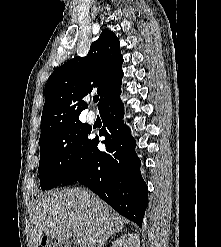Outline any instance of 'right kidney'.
<instances>
[{
	"instance_id": "obj_1",
	"label": "right kidney",
	"mask_w": 221,
	"mask_h": 247,
	"mask_svg": "<svg viewBox=\"0 0 221 247\" xmlns=\"http://www.w3.org/2000/svg\"><path fill=\"white\" fill-rule=\"evenodd\" d=\"M112 247H140L138 234H125L112 243Z\"/></svg>"
}]
</instances>
